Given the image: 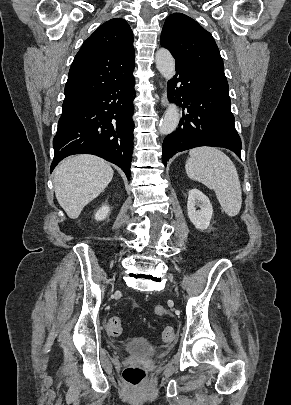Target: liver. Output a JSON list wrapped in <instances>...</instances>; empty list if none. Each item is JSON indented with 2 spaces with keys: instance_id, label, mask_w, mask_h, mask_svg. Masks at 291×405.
I'll use <instances>...</instances> for the list:
<instances>
[{
  "instance_id": "obj_1",
  "label": "liver",
  "mask_w": 291,
  "mask_h": 405,
  "mask_svg": "<svg viewBox=\"0 0 291 405\" xmlns=\"http://www.w3.org/2000/svg\"><path fill=\"white\" fill-rule=\"evenodd\" d=\"M113 173L105 160L93 155L68 157L55 168V195L69 218H78L83 208L108 186Z\"/></svg>"
}]
</instances>
